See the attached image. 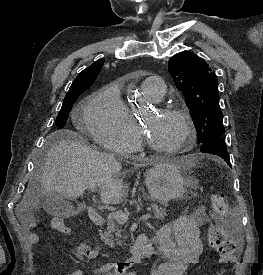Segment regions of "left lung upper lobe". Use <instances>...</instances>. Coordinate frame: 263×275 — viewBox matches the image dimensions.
Here are the masks:
<instances>
[{"mask_svg": "<svg viewBox=\"0 0 263 275\" xmlns=\"http://www.w3.org/2000/svg\"><path fill=\"white\" fill-rule=\"evenodd\" d=\"M176 87L185 96L198 143L203 144L225 132L219 105L218 80L205 61L192 52H181L168 62Z\"/></svg>", "mask_w": 263, "mask_h": 275, "instance_id": "left-lung-upper-lobe-1", "label": "left lung upper lobe"}]
</instances>
